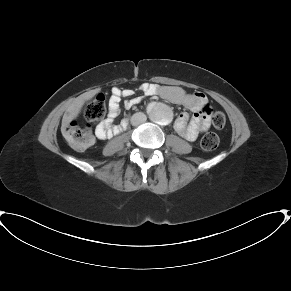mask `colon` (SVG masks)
Here are the masks:
<instances>
[{
	"mask_svg": "<svg viewBox=\"0 0 291 291\" xmlns=\"http://www.w3.org/2000/svg\"><path fill=\"white\" fill-rule=\"evenodd\" d=\"M106 111L105 97L103 94L90 99L84 108V118L88 122H100ZM209 112V109H207ZM213 125L222 128L225 125V116L221 112H216L212 117ZM62 134L75 150H84L89 147L95 139V135L89 125H80L76 120H72L67 125L62 126ZM201 147L205 151H213L219 145V137L214 133L206 134L201 139Z\"/></svg>",
	"mask_w": 291,
	"mask_h": 291,
	"instance_id": "5ec220e1",
	"label": "colon"
}]
</instances>
